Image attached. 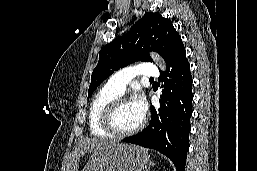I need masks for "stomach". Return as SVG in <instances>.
<instances>
[{
  "label": "stomach",
  "mask_w": 257,
  "mask_h": 171,
  "mask_svg": "<svg viewBox=\"0 0 257 171\" xmlns=\"http://www.w3.org/2000/svg\"><path fill=\"white\" fill-rule=\"evenodd\" d=\"M148 152L140 147L115 143L92 153L82 171H143Z\"/></svg>",
  "instance_id": "0dacf381"
}]
</instances>
